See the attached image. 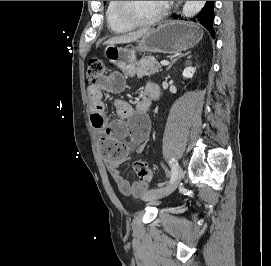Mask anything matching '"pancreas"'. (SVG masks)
<instances>
[{"mask_svg": "<svg viewBox=\"0 0 271 266\" xmlns=\"http://www.w3.org/2000/svg\"><path fill=\"white\" fill-rule=\"evenodd\" d=\"M136 71L139 77L149 76L161 71V65L158 64L154 57L145 56L137 63Z\"/></svg>", "mask_w": 271, "mask_h": 266, "instance_id": "pancreas-1", "label": "pancreas"}]
</instances>
